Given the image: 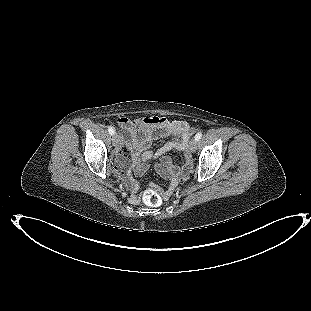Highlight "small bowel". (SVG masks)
<instances>
[{
	"label": "small bowel",
	"instance_id": "1",
	"mask_svg": "<svg viewBox=\"0 0 311 311\" xmlns=\"http://www.w3.org/2000/svg\"><path fill=\"white\" fill-rule=\"evenodd\" d=\"M117 124L123 131L118 158L119 167L124 161H130L134 174L142 176L153 161L160 159L158 169L168 174L171 183L176 184L191 166L187 154L184 156L182 167L175 166L172 160L166 156L170 151H186V142L190 135V129L186 122L152 116L137 119L119 117ZM164 137L173 139L157 150L150 149L152 141ZM128 183L131 200L137 202L139 184L129 177Z\"/></svg>",
	"mask_w": 311,
	"mask_h": 311
}]
</instances>
